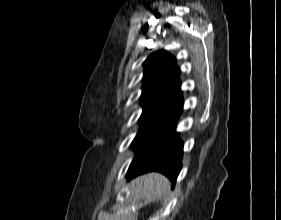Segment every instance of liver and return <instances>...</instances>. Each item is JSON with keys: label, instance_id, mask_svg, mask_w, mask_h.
Instances as JSON below:
<instances>
[{"label": "liver", "instance_id": "obj_1", "mask_svg": "<svg viewBox=\"0 0 281 220\" xmlns=\"http://www.w3.org/2000/svg\"><path fill=\"white\" fill-rule=\"evenodd\" d=\"M135 194L144 202H155L165 197L170 191L169 180L160 173L152 172L133 180Z\"/></svg>", "mask_w": 281, "mask_h": 220}]
</instances>
